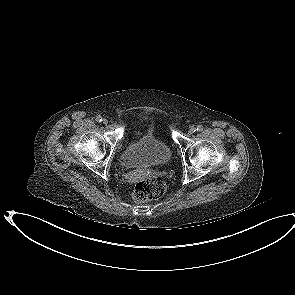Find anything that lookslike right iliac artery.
<instances>
[{
	"label": "right iliac artery",
	"instance_id": "1",
	"mask_svg": "<svg viewBox=\"0 0 295 295\" xmlns=\"http://www.w3.org/2000/svg\"><path fill=\"white\" fill-rule=\"evenodd\" d=\"M96 121H97V122H101V121H102V117H101L100 115L97 116V117H96Z\"/></svg>",
	"mask_w": 295,
	"mask_h": 295
}]
</instances>
